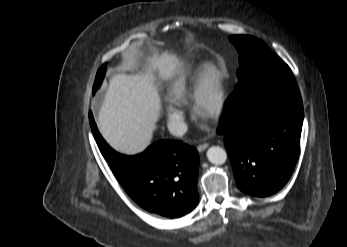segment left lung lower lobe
Masks as SVG:
<instances>
[{
    "label": "left lung lower lobe",
    "instance_id": "obj_1",
    "mask_svg": "<svg viewBox=\"0 0 347 247\" xmlns=\"http://www.w3.org/2000/svg\"><path fill=\"white\" fill-rule=\"evenodd\" d=\"M217 130L238 187L265 197L289 180L297 161L303 121L302 99L283 61L255 70L229 96Z\"/></svg>",
    "mask_w": 347,
    "mask_h": 247
}]
</instances>
